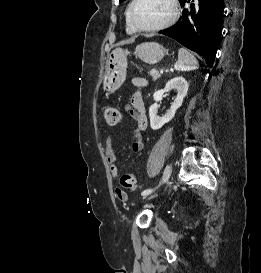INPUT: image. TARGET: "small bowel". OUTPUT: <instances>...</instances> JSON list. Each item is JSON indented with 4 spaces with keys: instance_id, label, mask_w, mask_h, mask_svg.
Wrapping results in <instances>:
<instances>
[{
    "instance_id": "obj_1",
    "label": "small bowel",
    "mask_w": 261,
    "mask_h": 273,
    "mask_svg": "<svg viewBox=\"0 0 261 273\" xmlns=\"http://www.w3.org/2000/svg\"><path fill=\"white\" fill-rule=\"evenodd\" d=\"M132 83L136 87L143 88L146 86L147 82L146 79L143 77H135L132 80ZM124 109L136 122V130L133 133L131 150L133 152H140L144 148V142L141 137V132L146 130L148 126V121L145 114V103L142 93L139 91L135 92L131 97L130 103L126 104ZM115 138V134L111 132L107 135L104 143V151L110 169V174L114 178H116L119 174L117 167V157L114 148ZM115 194L120 201L124 202L128 199L126 192L121 189H116Z\"/></svg>"
}]
</instances>
